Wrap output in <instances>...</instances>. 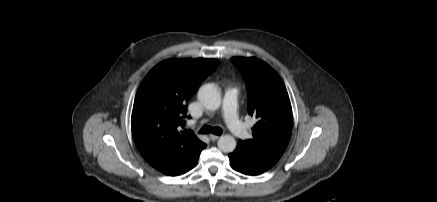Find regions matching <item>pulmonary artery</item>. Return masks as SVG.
Masks as SVG:
<instances>
[{"mask_svg":"<svg viewBox=\"0 0 437 202\" xmlns=\"http://www.w3.org/2000/svg\"><path fill=\"white\" fill-rule=\"evenodd\" d=\"M237 97V88H227L224 94L222 109L225 121L232 133L241 139H245L249 134L244 124L237 117Z\"/></svg>","mask_w":437,"mask_h":202,"instance_id":"obj_1","label":"pulmonary artery"}]
</instances>
